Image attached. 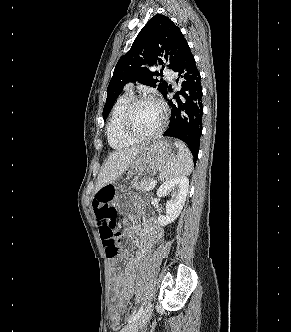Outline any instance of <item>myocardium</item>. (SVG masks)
Listing matches in <instances>:
<instances>
[{
    "label": "myocardium",
    "instance_id": "f54148a6",
    "mask_svg": "<svg viewBox=\"0 0 291 332\" xmlns=\"http://www.w3.org/2000/svg\"><path fill=\"white\" fill-rule=\"evenodd\" d=\"M146 101L153 102L159 107L160 113H161V124L155 132H153L151 134L143 135V134L137 133L134 130L132 122H133V114H134L135 109L137 108V106L140 103L146 102ZM166 125H167V117H166V110H165L164 104L157 98L150 96V95H141V96L134 97L127 105L125 112L123 114V118H122V130H123L124 134L127 137H129L137 142L148 141V140H152V139L159 137L165 130Z\"/></svg>",
    "mask_w": 291,
    "mask_h": 332
}]
</instances>
